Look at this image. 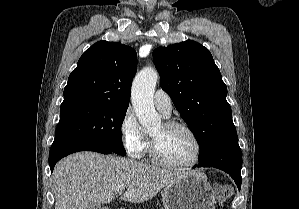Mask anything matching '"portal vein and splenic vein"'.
<instances>
[{"label": "portal vein and splenic vein", "instance_id": "portal-vein-and-splenic-vein-1", "mask_svg": "<svg viewBox=\"0 0 299 209\" xmlns=\"http://www.w3.org/2000/svg\"><path fill=\"white\" fill-rule=\"evenodd\" d=\"M124 190V186H119L118 188H117V192L118 193H122V191Z\"/></svg>", "mask_w": 299, "mask_h": 209}]
</instances>
